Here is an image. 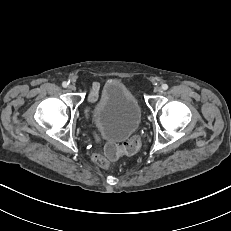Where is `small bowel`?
Masks as SVG:
<instances>
[{
    "instance_id": "small-bowel-1",
    "label": "small bowel",
    "mask_w": 231,
    "mask_h": 231,
    "mask_svg": "<svg viewBox=\"0 0 231 231\" xmlns=\"http://www.w3.org/2000/svg\"><path fill=\"white\" fill-rule=\"evenodd\" d=\"M99 84L94 82L92 85H91V88H90V91H89V101L91 103H94L98 100V97H99Z\"/></svg>"
}]
</instances>
